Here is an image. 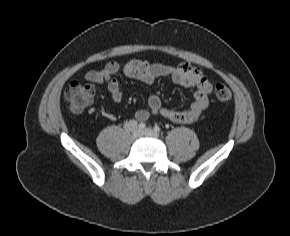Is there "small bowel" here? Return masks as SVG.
Listing matches in <instances>:
<instances>
[{
	"label": "small bowel",
	"instance_id": "obj_1",
	"mask_svg": "<svg viewBox=\"0 0 290 236\" xmlns=\"http://www.w3.org/2000/svg\"><path fill=\"white\" fill-rule=\"evenodd\" d=\"M121 69L126 77L146 84H151L160 77H168L179 86L195 88L193 103L183 110L165 107L157 95L150 96L148 108L140 109L135 114L138 122H144L150 116H161L175 123H193L202 116L209 105L212 90L211 82L200 68L189 63L169 66L134 59L121 68L117 62L111 61L99 69L88 71L85 74V80L93 84H106L113 102L121 103L123 93L119 82L115 78V75Z\"/></svg>",
	"mask_w": 290,
	"mask_h": 236
}]
</instances>
